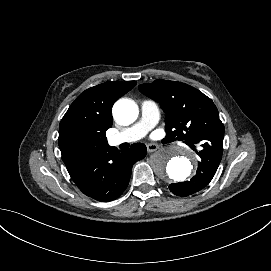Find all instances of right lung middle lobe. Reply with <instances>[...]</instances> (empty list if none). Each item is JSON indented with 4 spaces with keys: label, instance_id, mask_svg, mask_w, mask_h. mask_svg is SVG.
<instances>
[{
    "label": "right lung middle lobe",
    "instance_id": "obj_1",
    "mask_svg": "<svg viewBox=\"0 0 271 271\" xmlns=\"http://www.w3.org/2000/svg\"><path fill=\"white\" fill-rule=\"evenodd\" d=\"M80 147L89 155H93L108 145L104 134L82 133L78 136Z\"/></svg>",
    "mask_w": 271,
    "mask_h": 271
}]
</instances>
